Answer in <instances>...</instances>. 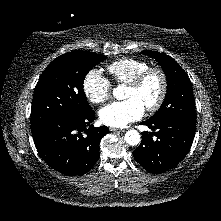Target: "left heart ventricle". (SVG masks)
Returning a JSON list of instances; mask_svg holds the SVG:
<instances>
[{
	"label": "left heart ventricle",
	"mask_w": 221,
	"mask_h": 221,
	"mask_svg": "<svg viewBox=\"0 0 221 221\" xmlns=\"http://www.w3.org/2000/svg\"><path fill=\"white\" fill-rule=\"evenodd\" d=\"M160 87L159 77L157 75H151L138 89L128 86L126 98H136L144 107H146L156 101L160 92Z\"/></svg>",
	"instance_id": "left-heart-ventricle-1"
}]
</instances>
